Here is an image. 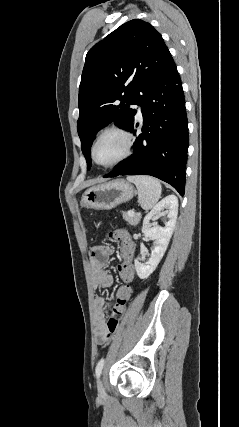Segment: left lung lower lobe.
Wrapping results in <instances>:
<instances>
[{
    "mask_svg": "<svg viewBox=\"0 0 239 427\" xmlns=\"http://www.w3.org/2000/svg\"><path fill=\"white\" fill-rule=\"evenodd\" d=\"M142 133L137 114L127 128L136 135L132 155L104 177L151 175L184 195L188 121L181 80L175 63L142 96Z\"/></svg>",
    "mask_w": 239,
    "mask_h": 427,
    "instance_id": "left-lung-lower-lobe-1",
    "label": "left lung lower lobe"
}]
</instances>
